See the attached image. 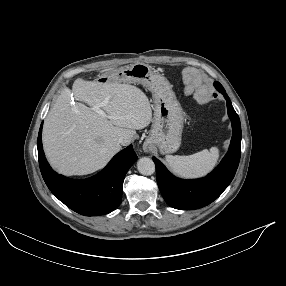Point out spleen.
I'll return each instance as SVG.
<instances>
[{"mask_svg":"<svg viewBox=\"0 0 286 286\" xmlns=\"http://www.w3.org/2000/svg\"><path fill=\"white\" fill-rule=\"evenodd\" d=\"M219 158V149L212 147L188 156L167 155L166 163L170 170L183 178H197L210 172Z\"/></svg>","mask_w":286,"mask_h":286,"instance_id":"1","label":"spleen"}]
</instances>
